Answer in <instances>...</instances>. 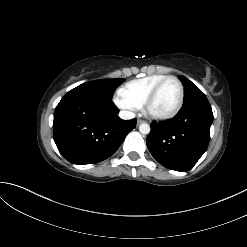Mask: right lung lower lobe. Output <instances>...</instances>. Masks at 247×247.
I'll return each instance as SVG.
<instances>
[{"mask_svg": "<svg viewBox=\"0 0 247 247\" xmlns=\"http://www.w3.org/2000/svg\"><path fill=\"white\" fill-rule=\"evenodd\" d=\"M111 99L68 92L54 113L53 138L73 164H94L116 152L136 119L122 120Z\"/></svg>", "mask_w": 247, "mask_h": 247, "instance_id": "1", "label": "right lung lower lobe"}]
</instances>
